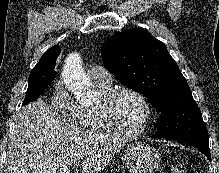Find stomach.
<instances>
[{
    "instance_id": "0dacf381",
    "label": "stomach",
    "mask_w": 219,
    "mask_h": 173,
    "mask_svg": "<svg viewBox=\"0 0 219 173\" xmlns=\"http://www.w3.org/2000/svg\"><path fill=\"white\" fill-rule=\"evenodd\" d=\"M123 161L130 173H153L160 165L161 154L145 142H133L125 149Z\"/></svg>"
}]
</instances>
